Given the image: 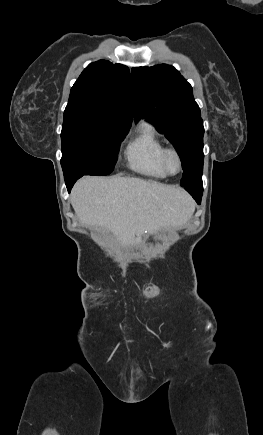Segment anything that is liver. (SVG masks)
Wrapping results in <instances>:
<instances>
[{"mask_svg": "<svg viewBox=\"0 0 263 435\" xmlns=\"http://www.w3.org/2000/svg\"><path fill=\"white\" fill-rule=\"evenodd\" d=\"M70 200L82 223L111 231L123 246L139 244L145 231L181 227L194 211L179 187L120 176L83 177Z\"/></svg>", "mask_w": 263, "mask_h": 435, "instance_id": "6515ba94", "label": "liver"}]
</instances>
